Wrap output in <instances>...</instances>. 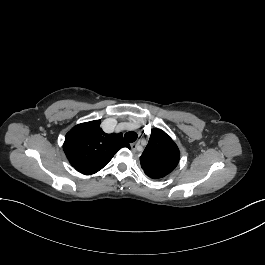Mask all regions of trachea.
Here are the masks:
<instances>
[{"label":"trachea","instance_id":"1","mask_svg":"<svg viewBox=\"0 0 265 265\" xmlns=\"http://www.w3.org/2000/svg\"><path fill=\"white\" fill-rule=\"evenodd\" d=\"M124 137L127 142L132 143L137 139L138 135L136 132L129 131L125 133Z\"/></svg>","mask_w":265,"mask_h":265}]
</instances>
